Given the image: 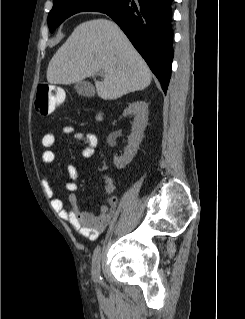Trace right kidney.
I'll return each mask as SVG.
<instances>
[{"instance_id": "obj_1", "label": "right kidney", "mask_w": 245, "mask_h": 319, "mask_svg": "<svg viewBox=\"0 0 245 319\" xmlns=\"http://www.w3.org/2000/svg\"><path fill=\"white\" fill-rule=\"evenodd\" d=\"M134 114L132 133L128 137V145L121 157H114V164L118 169L129 164L137 153L139 145L144 137V130L148 121V104L145 101H135L131 103L123 112V116Z\"/></svg>"}]
</instances>
